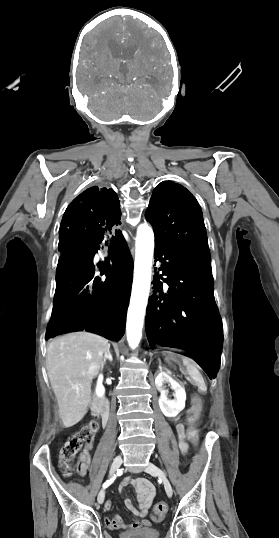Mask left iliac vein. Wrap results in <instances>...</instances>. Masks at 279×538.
<instances>
[{"label": "left iliac vein", "mask_w": 279, "mask_h": 538, "mask_svg": "<svg viewBox=\"0 0 279 538\" xmlns=\"http://www.w3.org/2000/svg\"><path fill=\"white\" fill-rule=\"evenodd\" d=\"M145 471L147 473L151 474L152 476H158L163 482V485H164V488H165V491H166L168 497H172V494H173L172 486H171L169 480L167 479L166 474L164 473L163 470H161L155 464L149 463L148 466L146 467Z\"/></svg>", "instance_id": "left-iliac-vein-1"}]
</instances>
